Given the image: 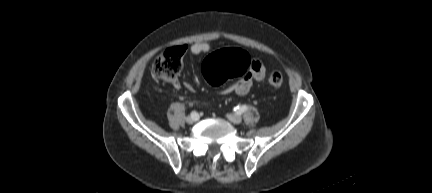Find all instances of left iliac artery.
<instances>
[{
    "instance_id": "obj_1",
    "label": "left iliac artery",
    "mask_w": 432,
    "mask_h": 193,
    "mask_svg": "<svg viewBox=\"0 0 432 193\" xmlns=\"http://www.w3.org/2000/svg\"><path fill=\"white\" fill-rule=\"evenodd\" d=\"M248 109V107L246 105H242V106H237L234 108V111L237 112L238 114H241L243 112H245Z\"/></svg>"
}]
</instances>
